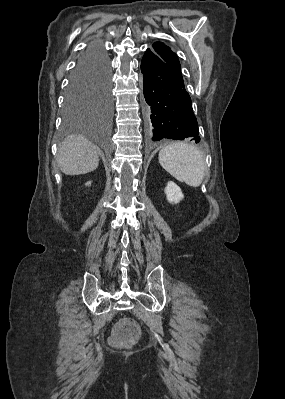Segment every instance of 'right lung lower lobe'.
I'll return each mask as SVG.
<instances>
[{
	"label": "right lung lower lobe",
	"mask_w": 285,
	"mask_h": 399,
	"mask_svg": "<svg viewBox=\"0 0 285 399\" xmlns=\"http://www.w3.org/2000/svg\"><path fill=\"white\" fill-rule=\"evenodd\" d=\"M99 51H104L103 47L100 44L90 45L81 56L77 65L87 62L90 58L94 57L97 53H99Z\"/></svg>",
	"instance_id": "right-lung-lower-lobe-1"
}]
</instances>
